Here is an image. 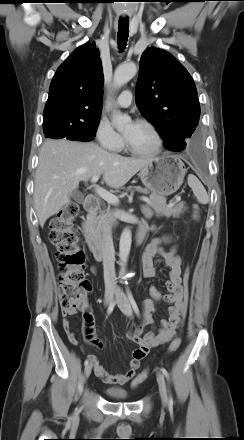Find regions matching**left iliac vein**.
<instances>
[{
    "instance_id": "obj_1",
    "label": "left iliac vein",
    "mask_w": 244,
    "mask_h": 440,
    "mask_svg": "<svg viewBox=\"0 0 244 440\" xmlns=\"http://www.w3.org/2000/svg\"><path fill=\"white\" fill-rule=\"evenodd\" d=\"M116 292H117L116 300H117V304H118L120 310L127 317H132L133 311H132L131 305L127 299V296L125 295V293L122 291V289L120 287L116 288ZM157 381L159 384V392H160L162 404H163V406H167V404H168L167 387H166V382H165L164 376L162 375L161 372H157Z\"/></svg>"
}]
</instances>
